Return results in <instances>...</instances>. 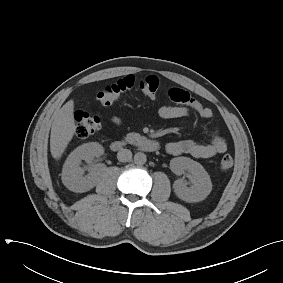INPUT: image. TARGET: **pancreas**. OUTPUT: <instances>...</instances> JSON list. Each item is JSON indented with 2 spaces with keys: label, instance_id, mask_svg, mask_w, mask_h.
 I'll return each mask as SVG.
<instances>
[{
  "label": "pancreas",
  "instance_id": "1",
  "mask_svg": "<svg viewBox=\"0 0 283 283\" xmlns=\"http://www.w3.org/2000/svg\"><path fill=\"white\" fill-rule=\"evenodd\" d=\"M139 138H140V135L138 133H129L125 137V141L128 143H134Z\"/></svg>",
  "mask_w": 283,
  "mask_h": 283
}]
</instances>
